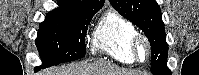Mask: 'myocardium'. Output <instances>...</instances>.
Returning a JSON list of instances; mask_svg holds the SVG:
<instances>
[{"label": "myocardium", "instance_id": "1", "mask_svg": "<svg viewBox=\"0 0 199 75\" xmlns=\"http://www.w3.org/2000/svg\"><path fill=\"white\" fill-rule=\"evenodd\" d=\"M141 44L145 45L147 50L146 57L144 59H141L138 55V47ZM131 52L136 62L144 63L148 61L151 57V44L149 39L143 34L135 33L131 39Z\"/></svg>", "mask_w": 199, "mask_h": 75}]
</instances>
